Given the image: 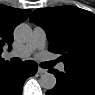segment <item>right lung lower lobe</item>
<instances>
[{
	"mask_svg": "<svg viewBox=\"0 0 95 95\" xmlns=\"http://www.w3.org/2000/svg\"><path fill=\"white\" fill-rule=\"evenodd\" d=\"M37 69V63L31 60L0 68V95H21L24 81Z\"/></svg>",
	"mask_w": 95,
	"mask_h": 95,
	"instance_id": "obj_1",
	"label": "right lung lower lobe"
}]
</instances>
